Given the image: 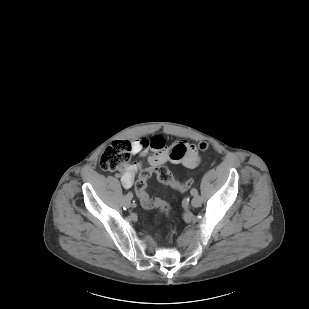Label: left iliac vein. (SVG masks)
Segmentation results:
<instances>
[{
	"instance_id": "1",
	"label": "left iliac vein",
	"mask_w": 309,
	"mask_h": 309,
	"mask_svg": "<svg viewBox=\"0 0 309 309\" xmlns=\"http://www.w3.org/2000/svg\"><path fill=\"white\" fill-rule=\"evenodd\" d=\"M202 204V197L200 195H195L191 201L193 207H199Z\"/></svg>"
}]
</instances>
